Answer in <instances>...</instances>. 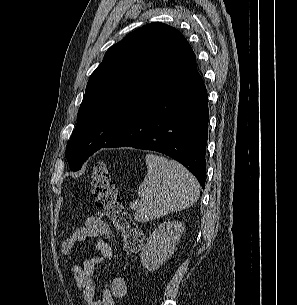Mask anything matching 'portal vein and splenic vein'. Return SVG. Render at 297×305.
<instances>
[{
    "label": "portal vein and splenic vein",
    "instance_id": "18ae733b",
    "mask_svg": "<svg viewBox=\"0 0 297 305\" xmlns=\"http://www.w3.org/2000/svg\"><path fill=\"white\" fill-rule=\"evenodd\" d=\"M137 204V203H136ZM131 207L133 208L134 207V204L133 205H131Z\"/></svg>",
    "mask_w": 297,
    "mask_h": 305
}]
</instances>
